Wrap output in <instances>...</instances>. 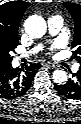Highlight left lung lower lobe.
I'll return each mask as SVG.
<instances>
[{"label":"left lung lower lobe","mask_w":81,"mask_h":124,"mask_svg":"<svg viewBox=\"0 0 81 124\" xmlns=\"http://www.w3.org/2000/svg\"><path fill=\"white\" fill-rule=\"evenodd\" d=\"M54 88L68 99H81V70L73 74V78H70L66 84H55Z\"/></svg>","instance_id":"left-lung-lower-lobe-1"}]
</instances>
